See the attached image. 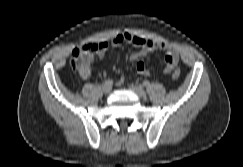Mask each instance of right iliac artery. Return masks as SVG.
Returning <instances> with one entry per match:
<instances>
[{"mask_svg": "<svg viewBox=\"0 0 243 167\" xmlns=\"http://www.w3.org/2000/svg\"><path fill=\"white\" fill-rule=\"evenodd\" d=\"M105 84L111 86L113 84V80L112 79H107L105 81Z\"/></svg>", "mask_w": 243, "mask_h": 167, "instance_id": "obj_1", "label": "right iliac artery"}]
</instances>
